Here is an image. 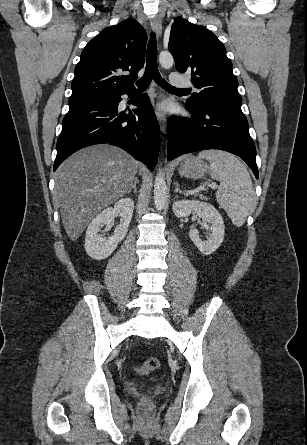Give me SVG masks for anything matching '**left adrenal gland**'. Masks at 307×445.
Instances as JSON below:
<instances>
[{
    "instance_id": "obj_1",
    "label": "left adrenal gland",
    "mask_w": 307,
    "mask_h": 445,
    "mask_svg": "<svg viewBox=\"0 0 307 445\" xmlns=\"http://www.w3.org/2000/svg\"><path fill=\"white\" fill-rule=\"evenodd\" d=\"M175 184H176V188H175L174 192H182V194H185V192H183V190H181V188H179L178 182H175Z\"/></svg>"
}]
</instances>
